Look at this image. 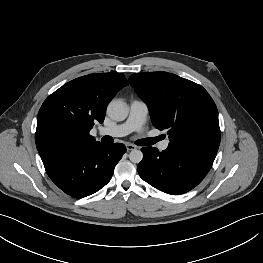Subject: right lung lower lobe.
Segmentation results:
<instances>
[{"label": "right lung lower lobe", "instance_id": "98d812e1", "mask_svg": "<svg viewBox=\"0 0 263 263\" xmlns=\"http://www.w3.org/2000/svg\"><path fill=\"white\" fill-rule=\"evenodd\" d=\"M125 152V145L119 143L85 145L71 151L46 172L66 194L83 198L99 191L110 181Z\"/></svg>", "mask_w": 263, "mask_h": 263}]
</instances>
